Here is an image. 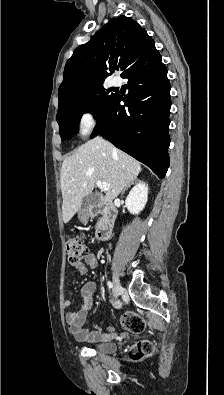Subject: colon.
Wrapping results in <instances>:
<instances>
[{"label":"colon","mask_w":224,"mask_h":395,"mask_svg":"<svg viewBox=\"0 0 224 395\" xmlns=\"http://www.w3.org/2000/svg\"><path fill=\"white\" fill-rule=\"evenodd\" d=\"M65 252L71 265L79 264L86 253L83 235L76 233L71 236L65 243ZM122 324L126 330L132 333H141L145 326L143 318L134 312H125L122 315ZM154 350L153 342L145 340L132 350L131 355L134 359L147 358L154 353Z\"/></svg>","instance_id":"colon-1"}]
</instances>
